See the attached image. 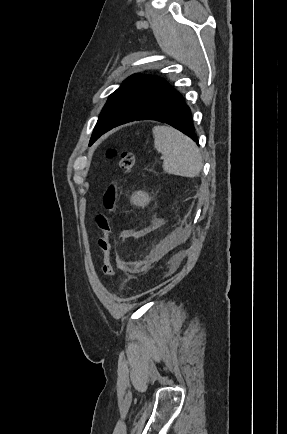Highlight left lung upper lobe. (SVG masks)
Listing matches in <instances>:
<instances>
[{"instance_id": "left-lung-upper-lobe-1", "label": "left lung upper lobe", "mask_w": 287, "mask_h": 434, "mask_svg": "<svg viewBox=\"0 0 287 434\" xmlns=\"http://www.w3.org/2000/svg\"><path fill=\"white\" fill-rule=\"evenodd\" d=\"M176 90L164 79L133 74L108 98L90 139V145L108 130L125 123L137 111L161 101Z\"/></svg>"}]
</instances>
